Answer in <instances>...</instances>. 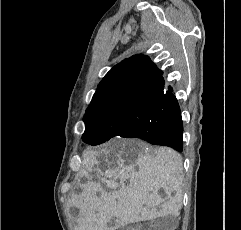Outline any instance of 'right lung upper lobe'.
I'll list each match as a JSON object with an SVG mask.
<instances>
[{
    "label": "right lung upper lobe",
    "instance_id": "obj_1",
    "mask_svg": "<svg viewBox=\"0 0 241 230\" xmlns=\"http://www.w3.org/2000/svg\"><path fill=\"white\" fill-rule=\"evenodd\" d=\"M163 82L162 71L148 56L137 54L127 58L99 83L83 120L92 122L115 110H135L150 104Z\"/></svg>",
    "mask_w": 241,
    "mask_h": 230
}]
</instances>
